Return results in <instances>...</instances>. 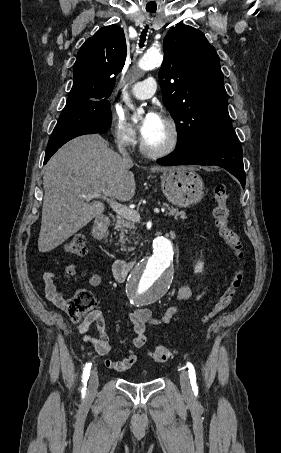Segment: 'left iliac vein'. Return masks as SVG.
Wrapping results in <instances>:
<instances>
[{"label":"left iliac vein","instance_id":"left-iliac-vein-1","mask_svg":"<svg viewBox=\"0 0 281 453\" xmlns=\"http://www.w3.org/2000/svg\"><path fill=\"white\" fill-rule=\"evenodd\" d=\"M180 387L183 390L184 395H191L192 390L190 387V381H189V373L188 371H185L184 369L180 373Z\"/></svg>","mask_w":281,"mask_h":453}]
</instances>
